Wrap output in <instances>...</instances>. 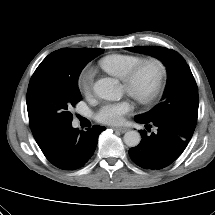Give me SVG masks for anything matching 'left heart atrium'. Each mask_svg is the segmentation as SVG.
<instances>
[{
    "label": "left heart atrium",
    "instance_id": "39dd6f15",
    "mask_svg": "<svg viewBox=\"0 0 215 215\" xmlns=\"http://www.w3.org/2000/svg\"><path fill=\"white\" fill-rule=\"evenodd\" d=\"M132 110V104L129 100L123 99L117 102H109L103 104L95 114L97 121L117 125L122 122L123 116Z\"/></svg>",
    "mask_w": 215,
    "mask_h": 215
}]
</instances>
